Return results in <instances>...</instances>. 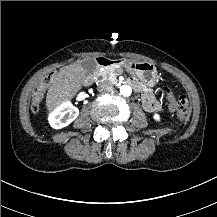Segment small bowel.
Returning a JSON list of instances; mask_svg holds the SVG:
<instances>
[{
  "mask_svg": "<svg viewBox=\"0 0 217 217\" xmlns=\"http://www.w3.org/2000/svg\"><path fill=\"white\" fill-rule=\"evenodd\" d=\"M142 105L144 109L148 112H160L162 110L161 104L156 101V99L150 92L145 93L142 100Z\"/></svg>",
  "mask_w": 217,
  "mask_h": 217,
  "instance_id": "1",
  "label": "small bowel"
}]
</instances>
